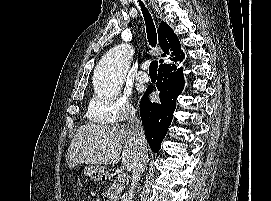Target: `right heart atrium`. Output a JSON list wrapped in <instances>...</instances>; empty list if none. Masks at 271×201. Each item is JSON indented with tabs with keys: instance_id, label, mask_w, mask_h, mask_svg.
<instances>
[{
	"instance_id": "obj_1",
	"label": "right heart atrium",
	"mask_w": 271,
	"mask_h": 201,
	"mask_svg": "<svg viewBox=\"0 0 271 201\" xmlns=\"http://www.w3.org/2000/svg\"><path fill=\"white\" fill-rule=\"evenodd\" d=\"M87 116L97 122L123 125L135 118V110L125 96L110 101L95 96L90 102Z\"/></svg>"
}]
</instances>
